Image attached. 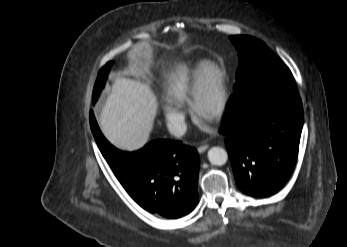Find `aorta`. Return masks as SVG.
I'll use <instances>...</instances> for the list:
<instances>
[{
	"mask_svg": "<svg viewBox=\"0 0 347 247\" xmlns=\"http://www.w3.org/2000/svg\"><path fill=\"white\" fill-rule=\"evenodd\" d=\"M207 155L210 163L213 165L222 166L228 160L227 152L221 147H211Z\"/></svg>",
	"mask_w": 347,
	"mask_h": 247,
	"instance_id": "obj_1",
	"label": "aorta"
}]
</instances>
